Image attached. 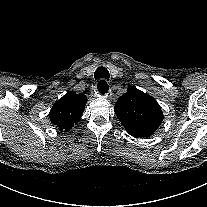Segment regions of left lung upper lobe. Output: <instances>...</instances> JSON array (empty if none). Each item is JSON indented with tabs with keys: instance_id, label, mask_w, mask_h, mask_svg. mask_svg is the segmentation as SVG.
Segmentation results:
<instances>
[{
	"instance_id": "obj_1",
	"label": "left lung upper lobe",
	"mask_w": 207,
	"mask_h": 207,
	"mask_svg": "<svg viewBox=\"0 0 207 207\" xmlns=\"http://www.w3.org/2000/svg\"><path fill=\"white\" fill-rule=\"evenodd\" d=\"M114 111L127 132L134 137H149L160 126L163 114L155 99L130 86L116 102Z\"/></svg>"
}]
</instances>
